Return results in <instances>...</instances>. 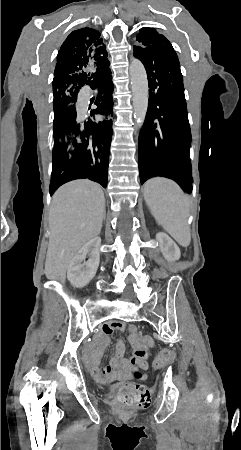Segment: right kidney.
Here are the masks:
<instances>
[{
    "mask_svg": "<svg viewBox=\"0 0 241 450\" xmlns=\"http://www.w3.org/2000/svg\"><path fill=\"white\" fill-rule=\"evenodd\" d=\"M100 246L101 238H92L72 258L67 278L74 288H83L94 278L100 262ZM85 258H89V260L85 262Z\"/></svg>",
    "mask_w": 241,
    "mask_h": 450,
    "instance_id": "obj_1",
    "label": "right kidney"
}]
</instances>
